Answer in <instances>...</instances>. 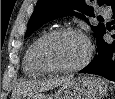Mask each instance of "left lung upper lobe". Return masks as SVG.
Listing matches in <instances>:
<instances>
[{
    "label": "left lung upper lobe",
    "instance_id": "1",
    "mask_svg": "<svg viewBox=\"0 0 115 99\" xmlns=\"http://www.w3.org/2000/svg\"><path fill=\"white\" fill-rule=\"evenodd\" d=\"M91 0H38L34 12L29 20L25 37H28L33 31L43 24L64 16H77L86 22L85 16L94 17L93 7L89 6ZM98 4L109 5L111 8L115 6V0H98ZM96 40L104 31L105 26L99 23L98 26H91Z\"/></svg>",
    "mask_w": 115,
    "mask_h": 99
}]
</instances>
